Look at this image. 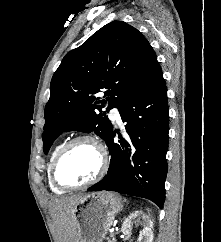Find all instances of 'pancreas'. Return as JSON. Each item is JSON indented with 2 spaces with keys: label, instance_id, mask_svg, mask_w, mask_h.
I'll use <instances>...</instances> for the list:
<instances>
[{
  "label": "pancreas",
  "instance_id": "obj_1",
  "mask_svg": "<svg viewBox=\"0 0 221 242\" xmlns=\"http://www.w3.org/2000/svg\"><path fill=\"white\" fill-rule=\"evenodd\" d=\"M107 242H115V239L113 238L112 240H110L109 238L107 239Z\"/></svg>",
  "mask_w": 221,
  "mask_h": 242
}]
</instances>
